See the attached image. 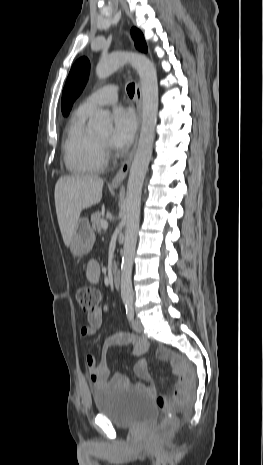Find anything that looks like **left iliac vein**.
Here are the masks:
<instances>
[{"label": "left iliac vein", "mask_w": 263, "mask_h": 465, "mask_svg": "<svg viewBox=\"0 0 263 465\" xmlns=\"http://www.w3.org/2000/svg\"><path fill=\"white\" fill-rule=\"evenodd\" d=\"M132 328H133V330L136 331L137 333L142 332L143 326H142V324H141V322H140L139 319H134V320L132 321Z\"/></svg>", "instance_id": "4c4485c4"}]
</instances>
